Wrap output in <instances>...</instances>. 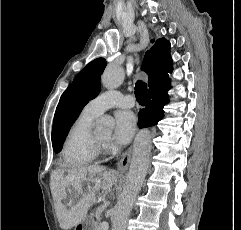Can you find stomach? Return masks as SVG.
<instances>
[{
	"label": "stomach",
	"instance_id": "1",
	"mask_svg": "<svg viewBox=\"0 0 241 230\" xmlns=\"http://www.w3.org/2000/svg\"><path fill=\"white\" fill-rule=\"evenodd\" d=\"M94 225L95 223L92 219L85 217L81 223L76 225L75 230H94Z\"/></svg>",
	"mask_w": 241,
	"mask_h": 230
}]
</instances>
